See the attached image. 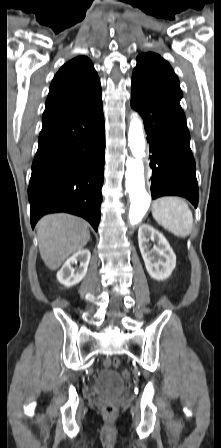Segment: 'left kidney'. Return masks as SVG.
Wrapping results in <instances>:
<instances>
[{
    "label": "left kidney",
    "instance_id": "left-kidney-1",
    "mask_svg": "<svg viewBox=\"0 0 221 448\" xmlns=\"http://www.w3.org/2000/svg\"><path fill=\"white\" fill-rule=\"evenodd\" d=\"M149 239L157 243L152 249H149ZM138 243L149 275L156 280L168 278L176 267V255L166 238L152 226L144 224L138 231Z\"/></svg>",
    "mask_w": 221,
    "mask_h": 448
}]
</instances>
